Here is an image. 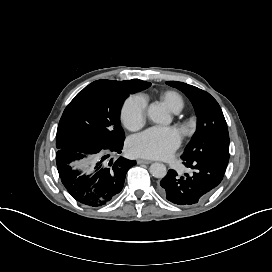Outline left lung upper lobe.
<instances>
[{
	"instance_id": "obj_1",
	"label": "left lung upper lobe",
	"mask_w": 272,
	"mask_h": 272,
	"mask_svg": "<svg viewBox=\"0 0 272 272\" xmlns=\"http://www.w3.org/2000/svg\"><path fill=\"white\" fill-rule=\"evenodd\" d=\"M168 85L182 91L192 102L197 120V130L181 158L184 161L212 160L223 165L229 161V134L222 110L206 91L177 81Z\"/></svg>"
}]
</instances>
